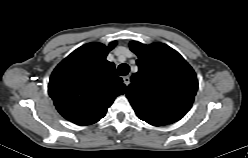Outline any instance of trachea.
<instances>
[{"mask_svg":"<svg viewBox=\"0 0 248 158\" xmlns=\"http://www.w3.org/2000/svg\"><path fill=\"white\" fill-rule=\"evenodd\" d=\"M130 71V67L127 65V64H121L119 67H118V74L120 76H125L129 73Z\"/></svg>","mask_w":248,"mask_h":158,"instance_id":"trachea-1","label":"trachea"}]
</instances>
